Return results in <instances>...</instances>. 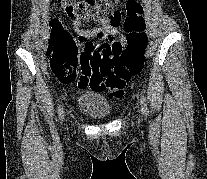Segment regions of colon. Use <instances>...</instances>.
I'll use <instances>...</instances> for the list:
<instances>
[{"mask_svg": "<svg viewBox=\"0 0 207 179\" xmlns=\"http://www.w3.org/2000/svg\"><path fill=\"white\" fill-rule=\"evenodd\" d=\"M118 0H58L71 17H109ZM144 8L137 0H128L124 17L125 43L101 32L100 44L76 39L56 21L51 24L48 46L50 65L60 82H84L109 90L111 95L124 96L126 83L141 73L145 64L144 50L148 44Z\"/></svg>", "mask_w": 207, "mask_h": 179, "instance_id": "1", "label": "colon"}]
</instances>
